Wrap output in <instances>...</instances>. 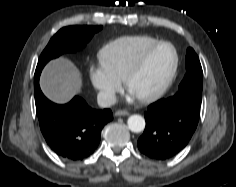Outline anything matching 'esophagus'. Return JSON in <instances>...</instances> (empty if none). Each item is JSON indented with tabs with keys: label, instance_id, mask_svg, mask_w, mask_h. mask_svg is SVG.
I'll return each mask as SVG.
<instances>
[{
	"label": "esophagus",
	"instance_id": "obj_1",
	"mask_svg": "<svg viewBox=\"0 0 236 187\" xmlns=\"http://www.w3.org/2000/svg\"><path fill=\"white\" fill-rule=\"evenodd\" d=\"M115 115L116 116H128L129 115V112L127 110H117L115 112Z\"/></svg>",
	"mask_w": 236,
	"mask_h": 187
}]
</instances>
